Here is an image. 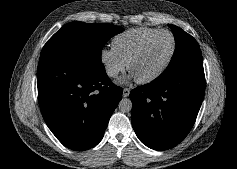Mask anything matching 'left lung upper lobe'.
I'll use <instances>...</instances> for the list:
<instances>
[{
  "instance_id": "5c2ea615",
  "label": "left lung upper lobe",
  "mask_w": 237,
  "mask_h": 169,
  "mask_svg": "<svg viewBox=\"0 0 237 169\" xmlns=\"http://www.w3.org/2000/svg\"><path fill=\"white\" fill-rule=\"evenodd\" d=\"M169 27L175 37L176 49L161 76L171 75L194 66H202L203 59L197 41L181 28L172 24H169Z\"/></svg>"
}]
</instances>
